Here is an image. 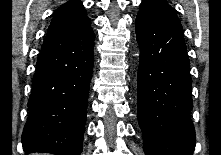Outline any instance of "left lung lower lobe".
<instances>
[{"instance_id": "left-lung-lower-lobe-1", "label": "left lung lower lobe", "mask_w": 221, "mask_h": 155, "mask_svg": "<svg viewBox=\"0 0 221 155\" xmlns=\"http://www.w3.org/2000/svg\"><path fill=\"white\" fill-rule=\"evenodd\" d=\"M138 122L146 155H193L192 79L183 30L171 14L140 4Z\"/></svg>"}]
</instances>
